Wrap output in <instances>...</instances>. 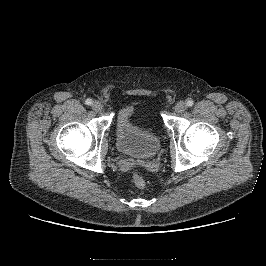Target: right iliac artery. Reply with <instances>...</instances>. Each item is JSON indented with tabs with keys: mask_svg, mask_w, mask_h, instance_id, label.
Instances as JSON below:
<instances>
[{
	"mask_svg": "<svg viewBox=\"0 0 266 266\" xmlns=\"http://www.w3.org/2000/svg\"><path fill=\"white\" fill-rule=\"evenodd\" d=\"M85 103H86L87 105H91V104H92V100L88 98V99L85 101Z\"/></svg>",
	"mask_w": 266,
	"mask_h": 266,
	"instance_id": "82829eb1",
	"label": "right iliac artery"
}]
</instances>
